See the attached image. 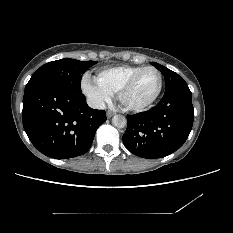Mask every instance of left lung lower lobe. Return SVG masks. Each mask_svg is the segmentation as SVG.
<instances>
[{
	"label": "left lung lower lobe",
	"mask_w": 233,
	"mask_h": 233,
	"mask_svg": "<svg viewBox=\"0 0 233 233\" xmlns=\"http://www.w3.org/2000/svg\"><path fill=\"white\" fill-rule=\"evenodd\" d=\"M193 119L191 91L186 83L179 84L165 91L155 107L127 116L123 143L136 156L164 157L184 144Z\"/></svg>",
	"instance_id": "1"
}]
</instances>
